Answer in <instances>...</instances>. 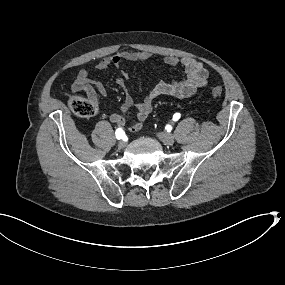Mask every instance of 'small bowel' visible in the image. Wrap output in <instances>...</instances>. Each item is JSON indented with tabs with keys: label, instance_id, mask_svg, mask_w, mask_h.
Returning <instances> with one entry per match:
<instances>
[{
	"label": "small bowel",
	"instance_id": "c3829d8e",
	"mask_svg": "<svg viewBox=\"0 0 285 285\" xmlns=\"http://www.w3.org/2000/svg\"><path fill=\"white\" fill-rule=\"evenodd\" d=\"M151 57V54L145 51H123L102 58L96 65L98 70H106L110 66L120 68L124 62H145ZM164 62L170 66L182 65L185 71V77L182 80L174 82H157L147 93L146 97L139 103L135 104L126 88V77L117 78V84L125 93L124 100L120 107V112L110 116L113 124L124 126L125 114L133 107L136 110V120L130 124L129 129L137 132L142 128L144 121L150 115L154 101L160 96H171L179 99L188 98L194 95L198 89L204 87L208 80V71L204 65L190 57L167 56ZM84 92L87 97L97 104L98 96L106 97L107 88L99 81L93 80L88 71L81 70L71 87V93L77 95Z\"/></svg>",
	"mask_w": 285,
	"mask_h": 285
}]
</instances>
